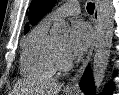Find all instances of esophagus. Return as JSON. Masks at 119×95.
Wrapping results in <instances>:
<instances>
[{
    "instance_id": "obj_1",
    "label": "esophagus",
    "mask_w": 119,
    "mask_h": 95,
    "mask_svg": "<svg viewBox=\"0 0 119 95\" xmlns=\"http://www.w3.org/2000/svg\"><path fill=\"white\" fill-rule=\"evenodd\" d=\"M99 19H100V16H99V4H98V1H95V10H94V14H93L94 39H93V42H92L91 47H90V50H89V52H88L83 64L77 70V72L74 74V76L72 78H70V80L66 84V88L67 89L77 90L79 88V85H78L79 80L81 79V77H82L86 67L89 64V62L91 60V57H92V53H93L95 42H96Z\"/></svg>"
}]
</instances>
